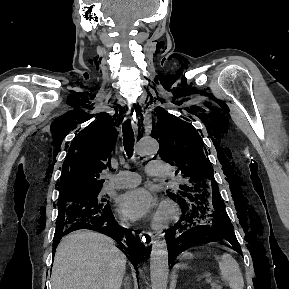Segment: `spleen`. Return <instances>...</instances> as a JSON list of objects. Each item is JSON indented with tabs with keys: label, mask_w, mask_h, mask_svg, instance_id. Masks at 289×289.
<instances>
[{
	"label": "spleen",
	"mask_w": 289,
	"mask_h": 289,
	"mask_svg": "<svg viewBox=\"0 0 289 289\" xmlns=\"http://www.w3.org/2000/svg\"><path fill=\"white\" fill-rule=\"evenodd\" d=\"M219 270L222 279L227 282L230 289H243L244 280L239 264L228 253H224L219 262Z\"/></svg>",
	"instance_id": "1"
}]
</instances>
